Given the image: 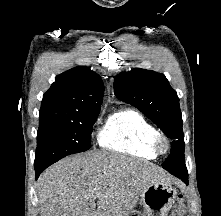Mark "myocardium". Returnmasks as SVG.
I'll list each match as a JSON object with an SVG mask.
<instances>
[{"label":"myocardium","mask_w":221,"mask_h":216,"mask_svg":"<svg viewBox=\"0 0 221 216\" xmlns=\"http://www.w3.org/2000/svg\"><path fill=\"white\" fill-rule=\"evenodd\" d=\"M149 143L151 148L157 154H165L170 150V141L168 137L161 132L155 131L151 136Z\"/></svg>","instance_id":"1"}]
</instances>
